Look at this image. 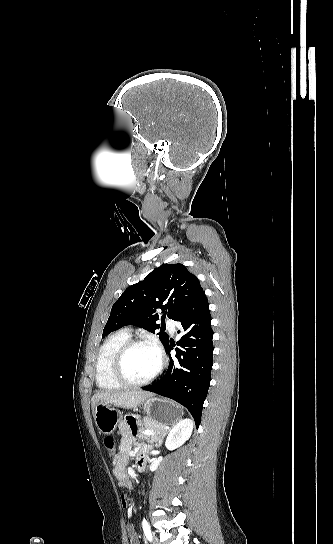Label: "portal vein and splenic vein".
<instances>
[{"label":"portal vein and splenic vein","instance_id":"18ae733b","mask_svg":"<svg viewBox=\"0 0 333 544\" xmlns=\"http://www.w3.org/2000/svg\"><path fill=\"white\" fill-rule=\"evenodd\" d=\"M143 434H146V435H155V433L151 430H145L142 432Z\"/></svg>","mask_w":333,"mask_h":544}]
</instances>
